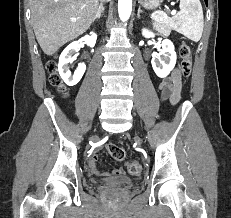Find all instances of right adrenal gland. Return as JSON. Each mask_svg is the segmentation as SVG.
Returning a JSON list of instances; mask_svg holds the SVG:
<instances>
[{
    "instance_id": "right-adrenal-gland-1",
    "label": "right adrenal gland",
    "mask_w": 231,
    "mask_h": 218,
    "mask_svg": "<svg viewBox=\"0 0 231 218\" xmlns=\"http://www.w3.org/2000/svg\"><path fill=\"white\" fill-rule=\"evenodd\" d=\"M103 11H104V9L102 8V6H100L99 9H98L97 15L94 18V21L97 20V19H100L103 16Z\"/></svg>"
}]
</instances>
